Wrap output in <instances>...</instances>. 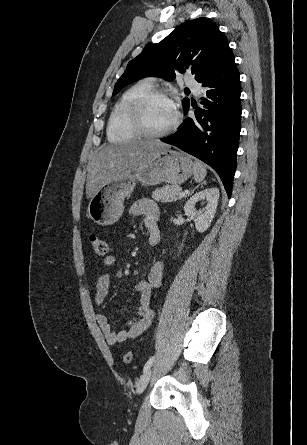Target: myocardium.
I'll return each mask as SVG.
<instances>
[{
	"instance_id": "f54148a6",
	"label": "myocardium",
	"mask_w": 307,
	"mask_h": 445,
	"mask_svg": "<svg viewBox=\"0 0 307 445\" xmlns=\"http://www.w3.org/2000/svg\"><path fill=\"white\" fill-rule=\"evenodd\" d=\"M155 99L166 100L170 102L172 106H174L169 95L159 90H150L137 101L133 109V118L139 134L144 136L142 139H159L169 136L177 129L179 125L180 113L175 110V117L169 127L161 132H154L150 130L146 123L145 110L148 104Z\"/></svg>"
}]
</instances>
